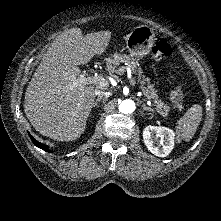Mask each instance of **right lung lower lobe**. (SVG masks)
<instances>
[{"label": "right lung lower lobe", "mask_w": 221, "mask_h": 221, "mask_svg": "<svg viewBox=\"0 0 221 221\" xmlns=\"http://www.w3.org/2000/svg\"><path fill=\"white\" fill-rule=\"evenodd\" d=\"M29 136H30V138H31V140H32V142L34 143L35 146H37V147L43 149L44 151L49 152V149H48V146H47V145L41 144L40 142H38L37 140H35L32 135L29 134Z\"/></svg>", "instance_id": "right-lung-lower-lobe-1"}]
</instances>
